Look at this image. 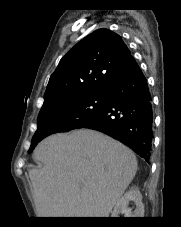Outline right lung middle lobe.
<instances>
[{
    "instance_id": "right-lung-middle-lobe-1",
    "label": "right lung middle lobe",
    "mask_w": 181,
    "mask_h": 227,
    "mask_svg": "<svg viewBox=\"0 0 181 227\" xmlns=\"http://www.w3.org/2000/svg\"><path fill=\"white\" fill-rule=\"evenodd\" d=\"M109 90L104 89L56 102L40 110L37 130L29 153L45 137L59 132L82 128L106 106Z\"/></svg>"
}]
</instances>
